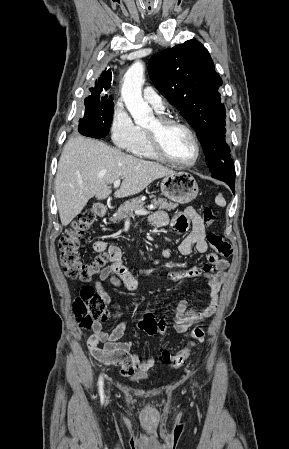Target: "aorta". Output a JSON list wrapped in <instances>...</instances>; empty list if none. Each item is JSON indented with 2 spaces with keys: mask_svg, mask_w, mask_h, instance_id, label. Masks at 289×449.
<instances>
[{
  "mask_svg": "<svg viewBox=\"0 0 289 449\" xmlns=\"http://www.w3.org/2000/svg\"><path fill=\"white\" fill-rule=\"evenodd\" d=\"M143 83L144 64L137 60L129 67L124 76L121 96L135 123L140 126L153 120L152 109L142 98Z\"/></svg>",
  "mask_w": 289,
  "mask_h": 449,
  "instance_id": "aorta-1",
  "label": "aorta"
}]
</instances>
